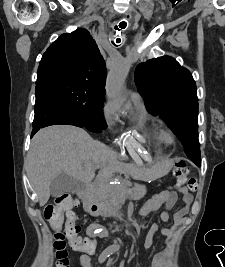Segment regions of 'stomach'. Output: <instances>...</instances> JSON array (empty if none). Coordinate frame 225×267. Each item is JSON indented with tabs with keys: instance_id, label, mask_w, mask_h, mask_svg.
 <instances>
[{
	"instance_id": "obj_1",
	"label": "stomach",
	"mask_w": 225,
	"mask_h": 267,
	"mask_svg": "<svg viewBox=\"0 0 225 267\" xmlns=\"http://www.w3.org/2000/svg\"><path fill=\"white\" fill-rule=\"evenodd\" d=\"M169 170V164L167 161L157 165L156 173L152 175L153 178L166 174Z\"/></svg>"
}]
</instances>
